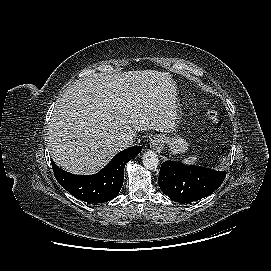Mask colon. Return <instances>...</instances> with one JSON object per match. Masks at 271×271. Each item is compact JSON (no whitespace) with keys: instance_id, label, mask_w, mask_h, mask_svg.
Instances as JSON below:
<instances>
[{"instance_id":"5ec220e1","label":"colon","mask_w":271,"mask_h":271,"mask_svg":"<svg viewBox=\"0 0 271 271\" xmlns=\"http://www.w3.org/2000/svg\"><path fill=\"white\" fill-rule=\"evenodd\" d=\"M206 118L211 121L217 127H221L223 125L222 121L218 119L217 113L212 109H207L205 112Z\"/></svg>"}]
</instances>
